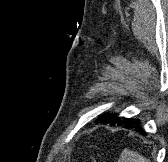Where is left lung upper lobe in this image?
Masks as SVG:
<instances>
[{
	"instance_id": "5c2ea615",
	"label": "left lung upper lobe",
	"mask_w": 168,
	"mask_h": 162,
	"mask_svg": "<svg viewBox=\"0 0 168 162\" xmlns=\"http://www.w3.org/2000/svg\"><path fill=\"white\" fill-rule=\"evenodd\" d=\"M101 118H102V115L98 117V119H101ZM98 119H97V120H98Z\"/></svg>"
}]
</instances>
